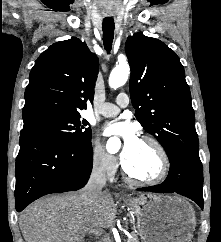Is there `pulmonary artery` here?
I'll use <instances>...</instances> for the list:
<instances>
[{"instance_id": "obj_1", "label": "pulmonary artery", "mask_w": 221, "mask_h": 242, "mask_svg": "<svg viewBox=\"0 0 221 242\" xmlns=\"http://www.w3.org/2000/svg\"><path fill=\"white\" fill-rule=\"evenodd\" d=\"M128 104H129V96L128 94L122 92L117 95L116 104L106 102L102 104L97 111L100 115L104 117H113L119 113L120 108L127 107Z\"/></svg>"}]
</instances>
